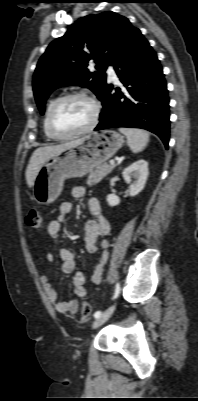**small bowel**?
Here are the masks:
<instances>
[{"label": "small bowel", "instance_id": "1", "mask_svg": "<svg viewBox=\"0 0 198 401\" xmlns=\"http://www.w3.org/2000/svg\"><path fill=\"white\" fill-rule=\"evenodd\" d=\"M85 188L78 186L74 187L72 194L75 198H82L85 196ZM88 207L91 214V218L87 221L85 226V248L87 252L98 256V262L96 263L91 280L94 284L101 282L104 266L109 257V241L106 236L110 233V222L102 213V207L99 200L92 197L88 201ZM72 211V204L70 202H63L59 207V214L56 218L52 219L47 225V234L52 243L58 246V254L62 260V271L70 274L75 270V260L72 252L61 246L59 243V232L62 224L67 216ZM55 255L49 253L47 259L52 261ZM40 282L43 289L49 299L54 305L55 310L61 314H74L77 312L78 303L76 299L58 300L57 292L52 285L51 279L48 275H42ZM74 293L76 297L82 298L87 294V288L85 286V274L82 271L75 272L72 279Z\"/></svg>", "mask_w": 198, "mask_h": 401}]
</instances>
